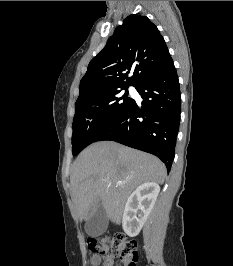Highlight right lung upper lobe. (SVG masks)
<instances>
[{
	"instance_id": "cb5924a9",
	"label": "right lung upper lobe",
	"mask_w": 233,
	"mask_h": 266,
	"mask_svg": "<svg viewBox=\"0 0 233 266\" xmlns=\"http://www.w3.org/2000/svg\"><path fill=\"white\" fill-rule=\"evenodd\" d=\"M170 59L157 27L146 16L129 15L89 63L77 100L129 85L137 87ZM130 71L133 75L128 77Z\"/></svg>"
}]
</instances>
